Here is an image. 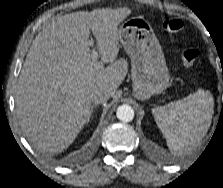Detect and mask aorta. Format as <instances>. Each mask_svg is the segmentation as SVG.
Instances as JSON below:
<instances>
[{
	"label": "aorta",
	"instance_id": "obj_1",
	"mask_svg": "<svg viewBox=\"0 0 223 188\" xmlns=\"http://www.w3.org/2000/svg\"><path fill=\"white\" fill-rule=\"evenodd\" d=\"M116 116L123 122H130L134 119V110L131 106L124 104L117 108Z\"/></svg>",
	"mask_w": 223,
	"mask_h": 188
}]
</instances>
